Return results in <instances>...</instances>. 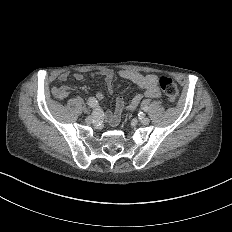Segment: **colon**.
Masks as SVG:
<instances>
[{
	"label": "colon",
	"instance_id": "5ec220e1",
	"mask_svg": "<svg viewBox=\"0 0 232 232\" xmlns=\"http://www.w3.org/2000/svg\"><path fill=\"white\" fill-rule=\"evenodd\" d=\"M159 86L163 89L162 97L164 101H177L179 94L178 86H175V81H171L168 77H163L159 81ZM58 98H71V93H58Z\"/></svg>",
	"mask_w": 232,
	"mask_h": 232
}]
</instances>
